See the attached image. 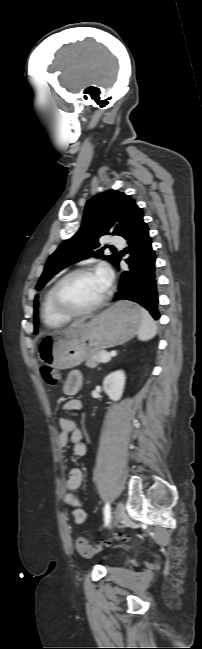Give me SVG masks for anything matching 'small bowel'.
<instances>
[{
  "mask_svg": "<svg viewBox=\"0 0 202 649\" xmlns=\"http://www.w3.org/2000/svg\"><path fill=\"white\" fill-rule=\"evenodd\" d=\"M83 376L79 371H72L68 374L65 383L63 385V391L67 395L76 394L82 386ZM82 403L79 399L71 398L67 400L63 405V410L66 412H77L81 410ZM60 431L57 437V443L60 449L64 450L68 443L73 444V453L75 456L82 457L87 453V446L83 442L82 432L77 428L76 424L68 419L61 418L59 421ZM61 462H64V455H60ZM83 481V473L79 468H72L69 472V475L65 481L64 489L66 491L77 490ZM65 502L72 509V515L74 516L75 522L77 524H83L88 520V516L85 511L80 507L81 503L76 496L73 494H67L65 496Z\"/></svg>",
  "mask_w": 202,
  "mask_h": 649,
  "instance_id": "obj_1",
  "label": "small bowel"
}]
</instances>
